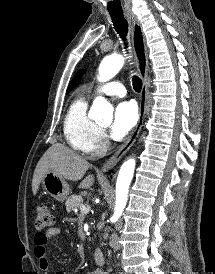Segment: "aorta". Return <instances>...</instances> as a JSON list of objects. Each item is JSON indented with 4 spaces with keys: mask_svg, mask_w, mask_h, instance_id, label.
<instances>
[{
    "mask_svg": "<svg viewBox=\"0 0 215 274\" xmlns=\"http://www.w3.org/2000/svg\"><path fill=\"white\" fill-rule=\"evenodd\" d=\"M124 58L121 55L106 56L99 66V81L105 82L112 79L122 68ZM89 117L103 123H111L113 107L103 97H97L89 111ZM135 160L129 159L120 168L116 182V203L112 221H117L122 215L128 199V189L134 175Z\"/></svg>",
    "mask_w": 215,
    "mask_h": 274,
    "instance_id": "1",
    "label": "aorta"
}]
</instances>
